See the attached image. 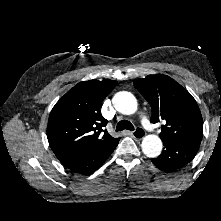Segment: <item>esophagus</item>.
<instances>
[{
	"instance_id": "obj_1",
	"label": "esophagus",
	"mask_w": 221,
	"mask_h": 221,
	"mask_svg": "<svg viewBox=\"0 0 221 221\" xmlns=\"http://www.w3.org/2000/svg\"><path fill=\"white\" fill-rule=\"evenodd\" d=\"M131 135L136 140H142L145 137V132L138 128L137 131L131 132Z\"/></svg>"
}]
</instances>
